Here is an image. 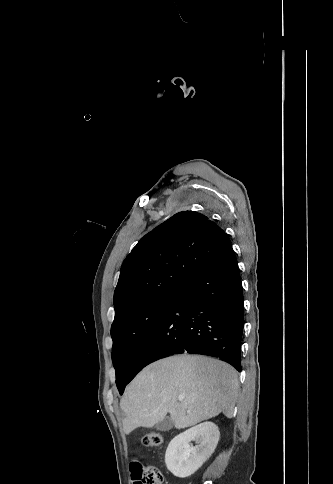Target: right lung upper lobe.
I'll return each instance as SVG.
<instances>
[{
	"label": "right lung upper lobe",
	"instance_id": "cb5924a9",
	"mask_svg": "<svg viewBox=\"0 0 333 484\" xmlns=\"http://www.w3.org/2000/svg\"><path fill=\"white\" fill-rule=\"evenodd\" d=\"M231 248L208 217L182 211L147 233L124 260L114 292V321L136 305L179 290Z\"/></svg>",
	"mask_w": 333,
	"mask_h": 484
}]
</instances>
